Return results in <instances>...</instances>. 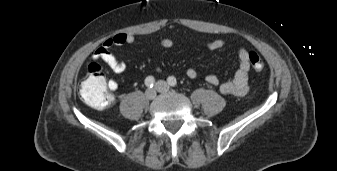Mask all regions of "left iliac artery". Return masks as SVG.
Here are the masks:
<instances>
[{
	"label": "left iliac artery",
	"mask_w": 337,
	"mask_h": 171,
	"mask_svg": "<svg viewBox=\"0 0 337 171\" xmlns=\"http://www.w3.org/2000/svg\"><path fill=\"white\" fill-rule=\"evenodd\" d=\"M167 81H168V84L172 87H175L177 85V80L173 76L168 77Z\"/></svg>",
	"instance_id": "obj_1"
}]
</instances>
